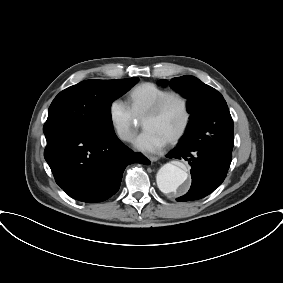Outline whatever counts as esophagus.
Masks as SVG:
<instances>
[{
	"mask_svg": "<svg viewBox=\"0 0 283 283\" xmlns=\"http://www.w3.org/2000/svg\"><path fill=\"white\" fill-rule=\"evenodd\" d=\"M148 159L151 161V162H155L159 159V157L157 156H149Z\"/></svg>",
	"mask_w": 283,
	"mask_h": 283,
	"instance_id": "1",
	"label": "esophagus"
}]
</instances>
